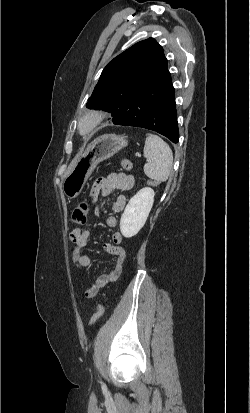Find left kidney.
Returning a JSON list of instances; mask_svg holds the SVG:
<instances>
[{
	"mask_svg": "<svg viewBox=\"0 0 250 413\" xmlns=\"http://www.w3.org/2000/svg\"><path fill=\"white\" fill-rule=\"evenodd\" d=\"M154 190L145 187L128 202L120 220V230L125 238L135 236L144 226L154 203Z\"/></svg>",
	"mask_w": 250,
	"mask_h": 413,
	"instance_id": "1",
	"label": "left kidney"
}]
</instances>
